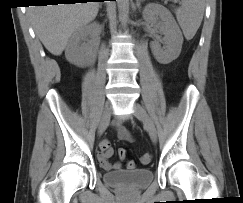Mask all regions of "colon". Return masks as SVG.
Masks as SVG:
<instances>
[{"mask_svg":"<svg viewBox=\"0 0 243 203\" xmlns=\"http://www.w3.org/2000/svg\"><path fill=\"white\" fill-rule=\"evenodd\" d=\"M126 151L124 149H119V156L120 157H124L125 156ZM152 161V155L149 153L144 154L141 157V163L142 164H149ZM127 168L128 169H134L135 168V162L134 161H129L127 163Z\"/></svg>","mask_w":243,"mask_h":203,"instance_id":"5ec220e1","label":"colon"}]
</instances>
